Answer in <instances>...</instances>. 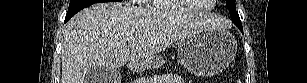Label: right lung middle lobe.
<instances>
[{"label": "right lung middle lobe", "mask_w": 307, "mask_h": 83, "mask_svg": "<svg viewBox=\"0 0 307 83\" xmlns=\"http://www.w3.org/2000/svg\"><path fill=\"white\" fill-rule=\"evenodd\" d=\"M112 0H70L68 12L66 14V18H71L81 9H84L95 3L108 2Z\"/></svg>", "instance_id": "1"}]
</instances>
